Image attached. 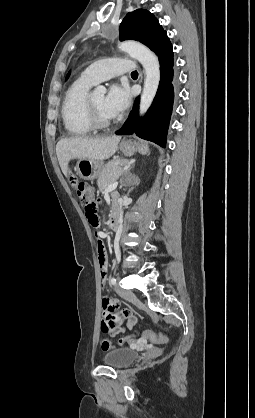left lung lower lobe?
<instances>
[{
  "label": "left lung lower lobe",
  "mask_w": 255,
  "mask_h": 418,
  "mask_svg": "<svg viewBox=\"0 0 255 418\" xmlns=\"http://www.w3.org/2000/svg\"><path fill=\"white\" fill-rule=\"evenodd\" d=\"M156 55L160 62L161 80L150 109L145 117L139 120V98H137L128 119L116 134L130 135L135 133L142 139L165 147L174 99L173 82L175 80L173 49L169 39L156 52Z\"/></svg>",
  "instance_id": "0a47b994"
}]
</instances>
